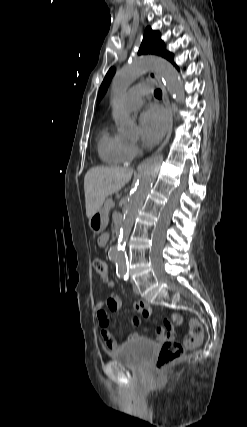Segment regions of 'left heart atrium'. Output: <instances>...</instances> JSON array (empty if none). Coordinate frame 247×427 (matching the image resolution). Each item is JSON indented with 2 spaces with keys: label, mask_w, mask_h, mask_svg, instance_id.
Returning a JSON list of instances; mask_svg holds the SVG:
<instances>
[{
  "label": "left heart atrium",
  "mask_w": 247,
  "mask_h": 427,
  "mask_svg": "<svg viewBox=\"0 0 247 427\" xmlns=\"http://www.w3.org/2000/svg\"><path fill=\"white\" fill-rule=\"evenodd\" d=\"M141 139L147 146H153L163 137L168 118L165 111L158 106H150L140 116Z\"/></svg>",
  "instance_id": "obj_1"
}]
</instances>
